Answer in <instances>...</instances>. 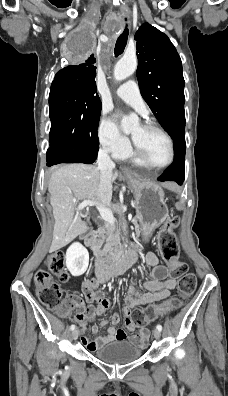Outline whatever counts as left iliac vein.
I'll use <instances>...</instances> for the list:
<instances>
[{
    "label": "left iliac vein",
    "mask_w": 228,
    "mask_h": 396,
    "mask_svg": "<svg viewBox=\"0 0 228 396\" xmlns=\"http://www.w3.org/2000/svg\"><path fill=\"white\" fill-rule=\"evenodd\" d=\"M153 335L156 339H160L161 337V331H159L158 329H154L153 330Z\"/></svg>",
    "instance_id": "left-iliac-vein-1"
}]
</instances>
